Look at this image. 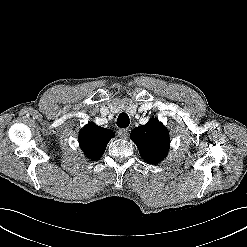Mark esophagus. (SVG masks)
Listing matches in <instances>:
<instances>
[{"instance_id": "1", "label": "esophagus", "mask_w": 247, "mask_h": 247, "mask_svg": "<svg viewBox=\"0 0 247 247\" xmlns=\"http://www.w3.org/2000/svg\"><path fill=\"white\" fill-rule=\"evenodd\" d=\"M129 135V129L127 128H123V129H119L118 130V136L120 138H127Z\"/></svg>"}]
</instances>
